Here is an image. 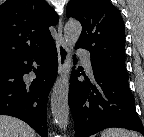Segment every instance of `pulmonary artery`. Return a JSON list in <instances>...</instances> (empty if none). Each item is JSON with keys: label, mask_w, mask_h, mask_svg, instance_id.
I'll use <instances>...</instances> for the list:
<instances>
[{"label": "pulmonary artery", "mask_w": 144, "mask_h": 137, "mask_svg": "<svg viewBox=\"0 0 144 137\" xmlns=\"http://www.w3.org/2000/svg\"><path fill=\"white\" fill-rule=\"evenodd\" d=\"M78 54L83 59L84 65H85V68L87 69V71L89 73H91L92 72V65H91V56H90L89 52L82 50V49H79Z\"/></svg>", "instance_id": "pulmonary-artery-1"}]
</instances>
